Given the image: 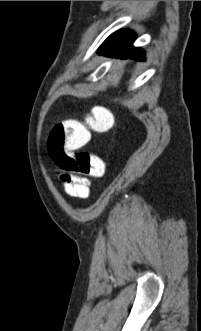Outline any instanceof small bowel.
<instances>
[{
  "label": "small bowel",
  "instance_id": "1",
  "mask_svg": "<svg viewBox=\"0 0 201 331\" xmlns=\"http://www.w3.org/2000/svg\"><path fill=\"white\" fill-rule=\"evenodd\" d=\"M64 191L71 197L87 198L89 195L90 181L86 177L63 172L60 175Z\"/></svg>",
  "mask_w": 201,
  "mask_h": 331
}]
</instances>
